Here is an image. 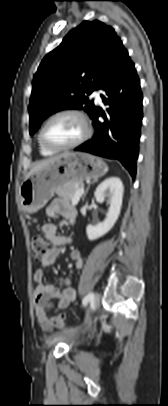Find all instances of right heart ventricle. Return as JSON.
<instances>
[{
    "label": "right heart ventricle",
    "instance_id": "e07e8e85",
    "mask_svg": "<svg viewBox=\"0 0 168 406\" xmlns=\"http://www.w3.org/2000/svg\"><path fill=\"white\" fill-rule=\"evenodd\" d=\"M37 140H38V146H39V151H40L41 155H43V156H51L56 152V151H52V150H49V149L45 148L41 144V142L39 140V136H38Z\"/></svg>",
    "mask_w": 168,
    "mask_h": 406
}]
</instances>
